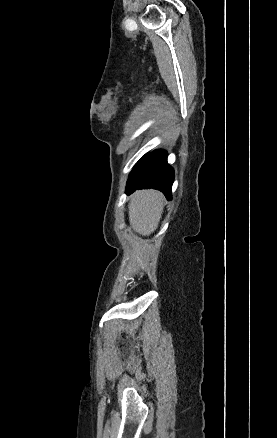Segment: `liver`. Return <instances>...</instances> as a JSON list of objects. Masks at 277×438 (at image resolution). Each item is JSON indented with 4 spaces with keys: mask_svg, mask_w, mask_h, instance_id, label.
Segmentation results:
<instances>
[{
    "mask_svg": "<svg viewBox=\"0 0 277 438\" xmlns=\"http://www.w3.org/2000/svg\"><path fill=\"white\" fill-rule=\"evenodd\" d=\"M163 202L161 192L155 190H141L131 196L128 214L134 232L141 236H150L157 230L164 208Z\"/></svg>",
    "mask_w": 277,
    "mask_h": 438,
    "instance_id": "6515ba94",
    "label": "liver"
}]
</instances>
